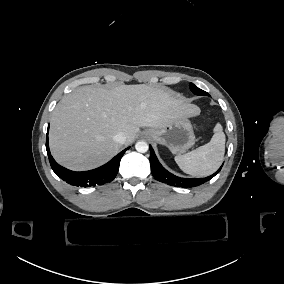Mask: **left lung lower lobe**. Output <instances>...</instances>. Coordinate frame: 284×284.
I'll return each instance as SVG.
<instances>
[{
	"instance_id": "1",
	"label": "left lung lower lobe",
	"mask_w": 284,
	"mask_h": 284,
	"mask_svg": "<svg viewBox=\"0 0 284 284\" xmlns=\"http://www.w3.org/2000/svg\"><path fill=\"white\" fill-rule=\"evenodd\" d=\"M150 165H151V172L154 178L160 182L166 183L171 186L177 187H195L203 184L204 182L210 180L214 177L222 168V166L215 172L213 175L208 176L206 178L200 179H190V178H180L177 177L170 172H168L158 161L154 150L150 146Z\"/></svg>"
}]
</instances>
